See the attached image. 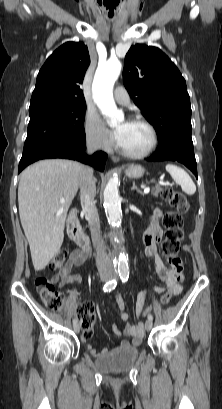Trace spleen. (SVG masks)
I'll return each instance as SVG.
<instances>
[{
    "mask_svg": "<svg viewBox=\"0 0 222 409\" xmlns=\"http://www.w3.org/2000/svg\"><path fill=\"white\" fill-rule=\"evenodd\" d=\"M166 170L172 176L173 180L181 186L183 192L188 195H193L196 192L194 182L184 169L173 164H168L166 165Z\"/></svg>",
    "mask_w": 222,
    "mask_h": 409,
    "instance_id": "3e777b00",
    "label": "spleen"
}]
</instances>
